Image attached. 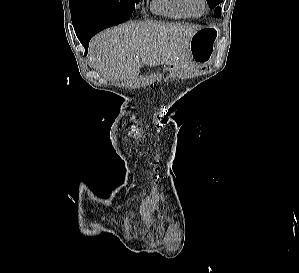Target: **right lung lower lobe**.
Listing matches in <instances>:
<instances>
[{
    "mask_svg": "<svg viewBox=\"0 0 299 273\" xmlns=\"http://www.w3.org/2000/svg\"><path fill=\"white\" fill-rule=\"evenodd\" d=\"M130 16L131 13L115 16H105L101 18L83 20L74 23L73 26L76 35L85 48V55L88 51L89 41L96 33L100 32L105 28L123 23L127 21L130 18Z\"/></svg>",
    "mask_w": 299,
    "mask_h": 273,
    "instance_id": "obj_1",
    "label": "right lung lower lobe"
}]
</instances>
